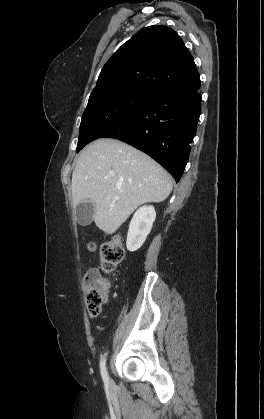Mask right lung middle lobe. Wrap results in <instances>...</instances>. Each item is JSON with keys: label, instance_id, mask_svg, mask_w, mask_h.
Masks as SVG:
<instances>
[{"label": "right lung middle lobe", "instance_id": "dd1d6c3e", "mask_svg": "<svg viewBox=\"0 0 264 419\" xmlns=\"http://www.w3.org/2000/svg\"><path fill=\"white\" fill-rule=\"evenodd\" d=\"M153 94L132 85H109L93 90L82 116L76 152L126 120Z\"/></svg>", "mask_w": 264, "mask_h": 419}]
</instances>
